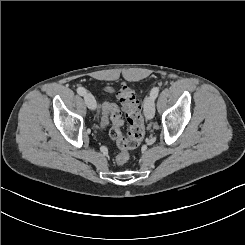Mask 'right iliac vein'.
I'll use <instances>...</instances> for the list:
<instances>
[{"instance_id": "1", "label": "right iliac vein", "mask_w": 245, "mask_h": 245, "mask_svg": "<svg viewBox=\"0 0 245 245\" xmlns=\"http://www.w3.org/2000/svg\"><path fill=\"white\" fill-rule=\"evenodd\" d=\"M84 100L89 109L95 110L97 107L96 100L91 93H86L84 95Z\"/></svg>"}]
</instances>
